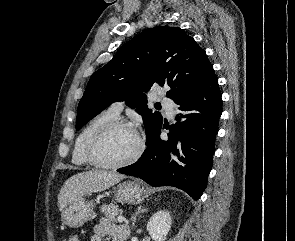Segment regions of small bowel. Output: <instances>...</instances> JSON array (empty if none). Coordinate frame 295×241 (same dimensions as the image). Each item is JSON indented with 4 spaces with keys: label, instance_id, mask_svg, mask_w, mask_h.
<instances>
[{
    "label": "small bowel",
    "instance_id": "small-bowel-1",
    "mask_svg": "<svg viewBox=\"0 0 295 241\" xmlns=\"http://www.w3.org/2000/svg\"><path fill=\"white\" fill-rule=\"evenodd\" d=\"M130 234L127 226L116 225L106 219H102L93 227V233L89 241H103L109 237L112 241H126Z\"/></svg>",
    "mask_w": 295,
    "mask_h": 241
}]
</instances>
